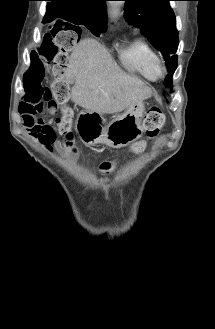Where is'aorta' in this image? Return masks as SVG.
Masks as SVG:
<instances>
[{"instance_id": "1", "label": "aorta", "mask_w": 215, "mask_h": 329, "mask_svg": "<svg viewBox=\"0 0 215 329\" xmlns=\"http://www.w3.org/2000/svg\"><path fill=\"white\" fill-rule=\"evenodd\" d=\"M119 3H113L112 6V15L115 16L118 14Z\"/></svg>"}]
</instances>
